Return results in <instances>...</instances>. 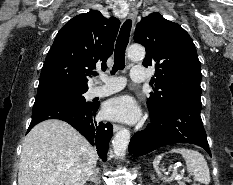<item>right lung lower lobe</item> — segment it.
I'll return each instance as SVG.
<instances>
[{
  "label": "right lung lower lobe",
  "mask_w": 233,
  "mask_h": 185,
  "mask_svg": "<svg viewBox=\"0 0 233 185\" xmlns=\"http://www.w3.org/2000/svg\"><path fill=\"white\" fill-rule=\"evenodd\" d=\"M99 104L80 103L67 99L40 98L33 105L29 132L36 124L47 119H60L77 129L98 150V155L106 161L109 141L113 134L110 123L96 122Z\"/></svg>",
  "instance_id": "obj_1"
}]
</instances>
